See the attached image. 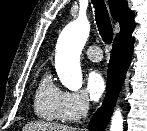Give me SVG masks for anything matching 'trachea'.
I'll list each match as a JSON object with an SVG mask.
<instances>
[{
    "mask_svg": "<svg viewBox=\"0 0 147 131\" xmlns=\"http://www.w3.org/2000/svg\"><path fill=\"white\" fill-rule=\"evenodd\" d=\"M95 8L96 23L99 33L106 44L113 40V29L104 0H92Z\"/></svg>",
    "mask_w": 147,
    "mask_h": 131,
    "instance_id": "3493384b",
    "label": "trachea"
}]
</instances>
